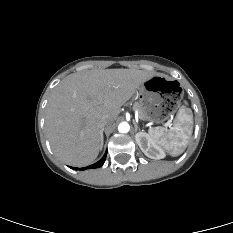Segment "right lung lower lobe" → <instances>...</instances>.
I'll return each mask as SVG.
<instances>
[{
    "label": "right lung lower lobe",
    "instance_id": "obj_1",
    "mask_svg": "<svg viewBox=\"0 0 233 233\" xmlns=\"http://www.w3.org/2000/svg\"><path fill=\"white\" fill-rule=\"evenodd\" d=\"M106 155H107V151L105 152L104 156H103L98 162H96L95 164L90 165V166H88V167H86V168H81V170H85V169H87V168L93 169V168L101 167V166L104 164V162H105ZM70 168H72V169H74V170H77V169H78V168H76V167H70Z\"/></svg>",
    "mask_w": 233,
    "mask_h": 233
}]
</instances>
